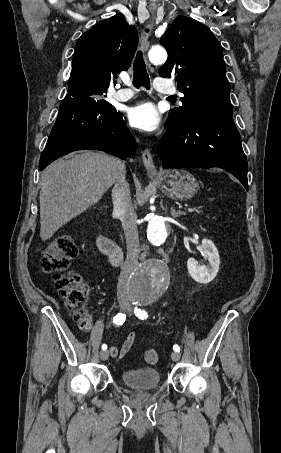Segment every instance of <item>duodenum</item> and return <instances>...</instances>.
I'll return each instance as SVG.
<instances>
[{
	"instance_id": "duodenum-1",
	"label": "duodenum",
	"mask_w": 281,
	"mask_h": 453,
	"mask_svg": "<svg viewBox=\"0 0 281 453\" xmlns=\"http://www.w3.org/2000/svg\"><path fill=\"white\" fill-rule=\"evenodd\" d=\"M98 247L103 254L109 257L112 264H120L123 257L122 250L111 238L100 236L98 238Z\"/></svg>"
}]
</instances>
